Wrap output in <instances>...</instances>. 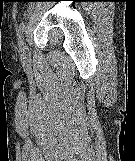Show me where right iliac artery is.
<instances>
[{"label":"right iliac artery","instance_id":"1","mask_svg":"<svg viewBox=\"0 0 135 161\" xmlns=\"http://www.w3.org/2000/svg\"><path fill=\"white\" fill-rule=\"evenodd\" d=\"M24 29H25V26H24V23H21L20 26H19V29H18V44H19V47L21 49V46L23 44V40H24Z\"/></svg>","mask_w":135,"mask_h":161}]
</instances>
